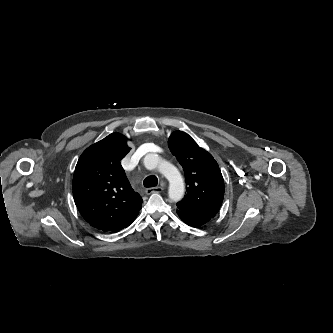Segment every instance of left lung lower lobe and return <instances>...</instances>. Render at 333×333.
Returning <instances> with one entry per match:
<instances>
[{"mask_svg": "<svg viewBox=\"0 0 333 333\" xmlns=\"http://www.w3.org/2000/svg\"><path fill=\"white\" fill-rule=\"evenodd\" d=\"M176 212L183 222H185L189 226H193V227H199V226L207 223L211 219L206 216H201V215L185 212L178 208H177Z\"/></svg>", "mask_w": 333, "mask_h": 333, "instance_id": "0a47b994", "label": "left lung lower lobe"}]
</instances>
